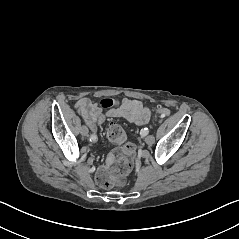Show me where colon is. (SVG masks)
<instances>
[{"label": "colon", "mask_w": 239, "mask_h": 239, "mask_svg": "<svg viewBox=\"0 0 239 239\" xmlns=\"http://www.w3.org/2000/svg\"><path fill=\"white\" fill-rule=\"evenodd\" d=\"M100 105L103 108H108L112 105V100L103 99ZM154 111L161 117L170 115V110L162 106L155 107ZM107 137L112 143L120 147L108 157L106 164L98 169L96 180L99 185L104 187H121L126 183L132 168L135 150L132 144L126 142L125 130L119 124L109 125Z\"/></svg>", "instance_id": "1"}]
</instances>
